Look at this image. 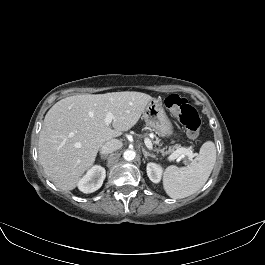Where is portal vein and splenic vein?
Masks as SVG:
<instances>
[{
  "instance_id": "portal-vein-and-splenic-vein-1",
  "label": "portal vein and splenic vein",
  "mask_w": 265,
  "mask_h": 265,
  "mask_svg": "<svg viewBox=\"0 0 265 265\" xmlns=\"http://www.w3.org/2000/svg\"><path fill=\"white\" fill-rule=\"evenodd\" d=\"M113 119H114L113 114L111 112H108L107 115H106V118H105V124L106 125L111 124ZM144 142H145V145H146V147L148 149L151 150L153 148L152 142H151V140L149 138H145ZM186 156L192 158V157H194V154L192 152H190L188 149L182 148L179 151H176L175 153L170 155L168 157V159L170 161H172V160H175L178 157H179V159H182V158H184Z\"/></svg>"
}]
</instances>
